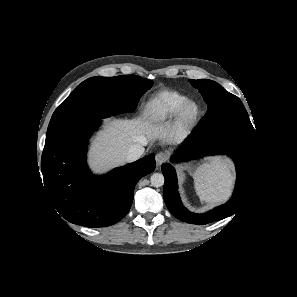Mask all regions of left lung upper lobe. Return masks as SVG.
Here are the masks:
<instances>
[{
  "label": "left lung upper lobe",
  "instance_id": "1",
  "mask_svg": "<svg viewBox=\"0 0 297 297\" xmlns=\"http://www.w3.org/2000/svg\"><path fill=\"white\" fill-rule=\"evenodd\" d=\"M208 104V111L195 127L198 134L205 135L216 131H233L255 139L248 113L240 99L227 92L221 85L208 79L190 80Z\"/></svg>",
  "mask_w": 297,
  "mask_h": 297
}]
</instances>
